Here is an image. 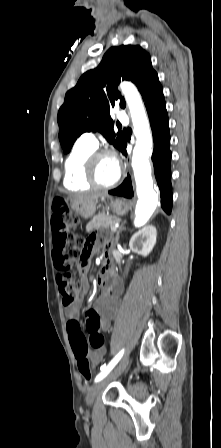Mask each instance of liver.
Here are the masks:
<instances>
[{
    "label": "liver",
    "instance_id": "1",
    "mask_svg": "<svg viewBox=\"0 0 221 448\" xmlns=\"http://www.w3.org/2000/svg\"><path fill=\"white\" fill-rule=\"evenodd\" d=\"M108 197V194L106 192H100V193H91V194H83L76 196L73 200V206L74 205H86L91 202H97L98 199H105Z\"/></svg>",
    "mask_w": 221,
    "mask_h": 448
}]
</instances>
